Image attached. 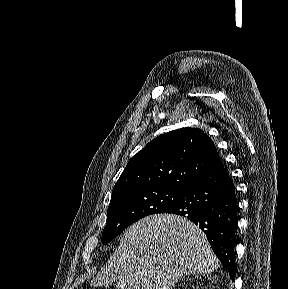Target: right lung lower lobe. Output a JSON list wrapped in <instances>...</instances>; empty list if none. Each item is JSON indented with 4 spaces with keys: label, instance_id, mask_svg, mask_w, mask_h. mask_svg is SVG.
<instances>
[{
    "label": "right lung lower lobe",
    "instance_id": "right-lung-lower-lobe-1",
    "mask_svg": "<svg viewBox=\"0 0 288 289\" xmlns=\"http://www.w3.org/2000/svg\"><path fill=\"white\" fill-rule=\"evenodd\" d=\"M237 211L233 181L220 162L192 182L180 200L166 213L185 216L199 224L214 253L229 271L231 279H234Z\"/></svg>",
    "mask_w": 288,
    "mask_h": 289
}]
</instances>
